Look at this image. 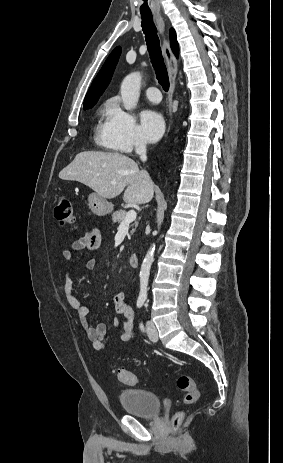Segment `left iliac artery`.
I'll return each mask as SVG.
<instances>
[{"mask_svg":"<svg viewBox=\"0 0 283 463\" xmlns=\"http://www.w3.org/2000/svg\"><path fill=\"white\" fill-rule=\"evenodd\" d=\"M140 328H141L142 331H144V326H143L142 323L140 324Z\"/></svg>","mask_w":283,"mask_h":463,"instance_id":"1","label":"left iliac artery"}]
</instances>
